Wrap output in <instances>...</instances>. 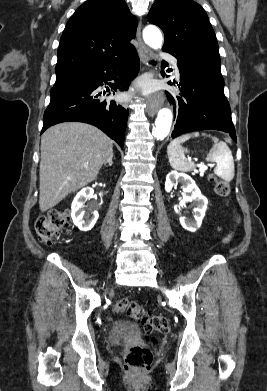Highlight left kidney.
<instances>
[{
	"instance_id": "obj_1",
	"label": "left kidney",
	"mask_w": 267,
	"mask_h": 391,
	"mask_svg": "<svg viewBox=\"0 0 267 391\" xmlns=\"http://www.w3.org/2000/svg\"><path fill=\"white\" fill-rule=\"evenodd\" d=\"M178 182H181L182 184L183 199L179 205L174 206V210L177 214L180 215V210L183 205L186 202L194 201V220L191 221L184 216H180L179 220L184 229L190 232H195L202 224V219L204 218L205 211L207 209L208 200L201 194L200 189L197 187L194 180L190 176L184 173H178L176 171H171L166 176V192H170Z\"/></svg>"
}]
</instances>
